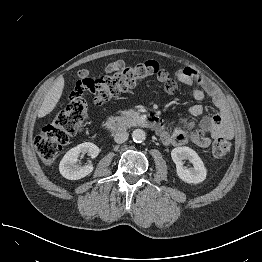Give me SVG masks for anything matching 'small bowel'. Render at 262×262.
I'll use <instances>...</instances> for the list:
<instances>
[{"instance_id":"obj_1","label":"small bowel","mask_w":262,"mask_h":262,"mask_svg":"<svg viewBox=\"0 0 262 262\" xmlns=\"http://www.w3.org/2000/svg\"><path fill=\"white\" fill-rule=\"evenodd\" d=\"M177 81L190 86L193 97L196 100H203L209 97L217 108L218 112L212 115H204V108L199 104L192 105L188 108V115L191 117H201L197 128L187 131L182 124L187 123L193 128V121L183 119L176 124L171 130L162 125L155 129L160 140L166 145H182L187 141L201 146L208 147L212 140L224 138L232 139L234 136L233 128L230 121L228 103L222 96L197 70L191 67H185L175 72ZM164 85V91L168 95H173L177 91V82L166 78L161 80Z\"/></svg>"}]
</instances>
